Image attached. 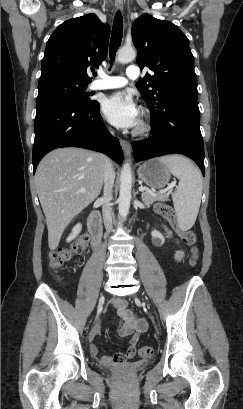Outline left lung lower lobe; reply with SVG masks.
<instances>
[{
    "instance_id": "0a47b994",
    "label": "left lung lower lobe",
    "mask_w": 243,
    "mask_h": 409,
    "mask_svg": "<svg viewBox=\"0 0 243 409\" xmlns=\"http://www.w3.org/2000/svg\"><path fill=\"white\" fill-rule=\"evenodd\" d=\"M150 112L153 136L134 142L135 161L166 154H183L196 162L204 176V144L200 131L198 92H179Z\"/></svg>"
}]
</instances>
